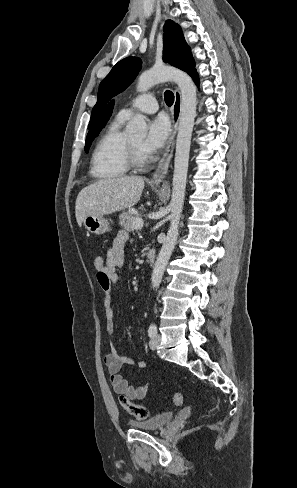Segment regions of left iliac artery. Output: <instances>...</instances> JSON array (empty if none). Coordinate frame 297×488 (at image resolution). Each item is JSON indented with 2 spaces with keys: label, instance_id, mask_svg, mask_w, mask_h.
Segmentation results:
<instances>
[{
  "label": "left iliac artery",
  "instance_id": "left-iliac-artery-1",
  "mask_svg": "<svg viewBox=\"0 0 297 488\" xmlns=\"http://www.w3.org/2000/svg\"><path fill=\"white\" fill-rule=\"evenodd\" d=\"M157 334V327L155 324H151L148 329V335L150 338L154 337Z\"/></svg>",
  "mask_w": 297,
  "mask_h": 488
}]
</instances>
